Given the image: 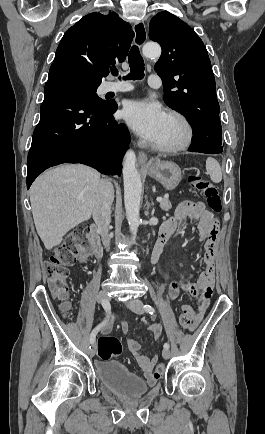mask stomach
Masks as SVG:
<instances>
[{"label":"stomach","instance_id":"0dacf381","mask_svg":"<svg viewBox=\"0 0 265 434\" xmlns=\"http://www.w3.org/2000/svg\"><path fill=\"white\" fill-rule=\"evenodd\" d=\"M142 170L160 182L166 190H174L182 180L181 170L174 162H155V164H149L148 168H142Z\"/></svg>","mask_w":265,"mask_h":434}]
</instances>
